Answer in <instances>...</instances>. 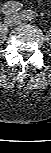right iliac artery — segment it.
I'll return each instance as SVG.
<instances>
[{
    "instance_id": "1",
    "label": "right iliac artery",
    "mask_w": 51,
    "mask_h": 153,
    "mask_svg": "<svg viewBox=\"0 0 51 153\" xmlns=\"http://www.w3.org/2000/svg\"><path fill=\"white\" fill-rule=\"evenodd\" d=\"M22 6L23 5L19 2L10 1V2H7L3 5L1 11L3 14L9 15L13 12H17V11L21 10Z\"/></svg>"
}]
</instances>
